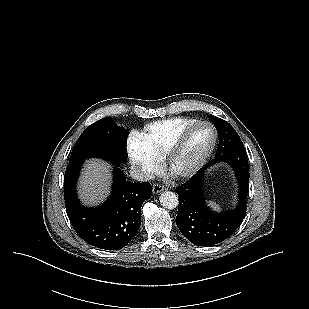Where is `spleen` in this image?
<instances>
[{
    "instance_id": "1",
    "label": "spleen",
    "mask_w": 309,
    "mask_h": 309,
    "mask_svg": "<svg viewBox=\"0 0 309 309\" xmlns=\"http://www.w3.org/2000/svg\"><path fill=\"white\" fill-rule=\"evenodd\" d=\"M208 204H209L212 208H214L215 210H219V209H220L219 206H218L216 203L212 202V201H210Z\"/></svg>"
}]
</instances>
